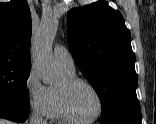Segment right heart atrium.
I'll use <instances>...</instances> for the list:
<instances>
[{
  "label": "right heart atrium",
  "instance_id": "right-heart-atrium-1",
  "mask_svg": "<svg viewBox=\"0 0 156 124\" xmlns=\"http://www.w3.org/2000/svg\"><path fill=\"white\" fill-rule=\"evenodd\" d=\"M25 91L30 108L41 117H50L51 95L34 68H31L25 80Z\"/></svg>",
  "mask_w": 156,
  "mask_h": 124
}]
</instances>
